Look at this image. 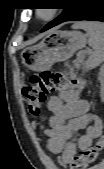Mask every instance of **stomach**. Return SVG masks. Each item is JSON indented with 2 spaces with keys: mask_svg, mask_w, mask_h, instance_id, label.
I'll return each instance as SVG.
<instances>
[{
  "mask_svg": "<svg viewBox=\"0 0 104 169\" xmlns=\"http://www.w3.org/2000/svg\"><path fill=\"white\" fill-rule=\"evenodd\" d=\"M87 35L80 31H53L38 44L24 49L23 63L34 71L50 69L59 61L70 58L77 50L85 47Z\"/></svg>",
  "mask_w": 104,
  "mask_h": 169,
  "instance_id": "stomach-1",
  "label": "stomach"
}]
</instances>
